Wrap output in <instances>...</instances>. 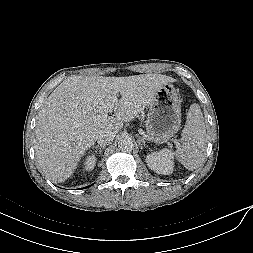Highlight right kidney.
I'll return each instance as SVG.
<instances>
[{
    "mask_svg": "<svg viewBox=\"0 0 253 253\" xmlns=\"http://www.w3.org/2000/svg\"><path fill=\"white\" fill-rule=\"evenodd\" d=\"M95 164H96V157L94 155L87 156V158L84 161V169L86 171H91L94 169Z\"/></svg>",
    "mask_w": 253,
    "mask_h": 253,
    "instance_id": "right-kidney-1",
    "label": "right kidney"
}]
</instances>
